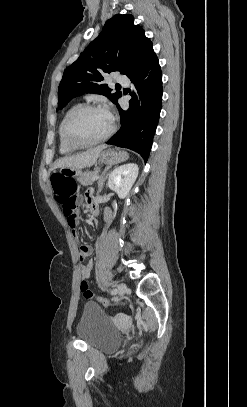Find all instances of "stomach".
<instances>
[{
	"label": "stomach",
	"mask_w": 247,
	"mask_h": 407,
	"mask_svg": "<svg viewBox=\"0 0 247 407\" xmlns=\"http://www.w3.org/2000/svg\"><path fill=\"white\" fill-rule=\"evenodd\" d=\"M128 158V154L124 151H114L112 149L104 150L100 153L99 159L102 163L107 165H114L125 161ZM60 174L63 178H76L81 175V170L78 166H61Z\"/></svg>",
	"instance_id": "1"
}]
</instances>
